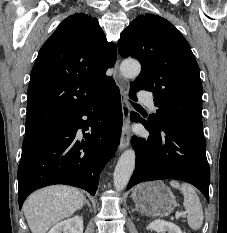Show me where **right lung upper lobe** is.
I'll return each mask as SVG.
<instances>
[{"mask_svg": "<svg viewBox=\"0 0 227 233\" xmlns=\"http://www.w3.org/2000/svg\"><path fill=\"white\" fill-rule=\"evenodd\" d=\"M117 58L96 18H66L41 47L28 86L26 132L33 133L79 112L108 92L106 76Z\"/></svg>", "mask_w": 227, "mask_h": 233, "instance_id": "1", "label": "right lung upper lobe"}]
</instances>
